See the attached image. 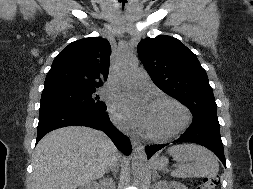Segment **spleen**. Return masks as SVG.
Instances as JSON below:
<instances>
[{
	"instance_id": "obj_1",
	"label": "spleen",
	"mask_w": 253,
	"mask_h": 189,
	"mask_svg": "<svg viewBox=\"0 0 253 189\" xmlns=\"http://www.w3.org/2000/svg\"><path fill=\"white\" fill-rule=\"evenodd\" d=\"M168 153L179 162L171 173L174 177H215L218 174V160L213 152L205 147L195 144H177L171 146Z\"/></svg>"
}]
</instances>
